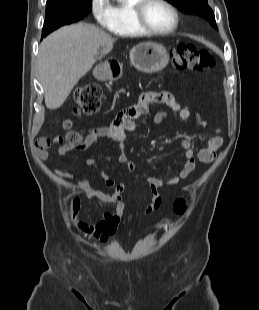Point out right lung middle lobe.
Here are the masks:
<instances>
[{
  "mask_svg": "<svg viewBox=\"0 0 259 310\" xmlns=\"http://www.w3.org/2000/svg\"><path fill=\"white\" fill-rule=\"evenodd\" d=\"M91 9V0L46 5L42 38L61 26L78 22L87 16Z\"/></svg>",
  "mask_w": 259,
  "mask_h": 310,
  "instance_id": "dd1d6c3e",
  "label": "right lung middle lobe"
}]
</instances>
